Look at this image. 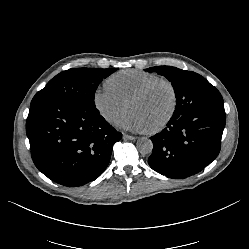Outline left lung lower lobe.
<instances>
[{
  "instance_id": "obj_1",
  "label": "left lung lower lobe",
  "mask_w": 249,
  "mask_h": 249,
  "mask_svg": "<svg viewBox=\"0 0 249 249\" xmlns=\"http://www.w3.org/2000/svg\"><path fill=\"white\" fill-rule=\"evenodd\" d=\"M226 117L224 105L198 108L178 118L151 137L148 164L169 178L183 179L200 172L219 154Z\"/></svg>"
}]
</instances>
